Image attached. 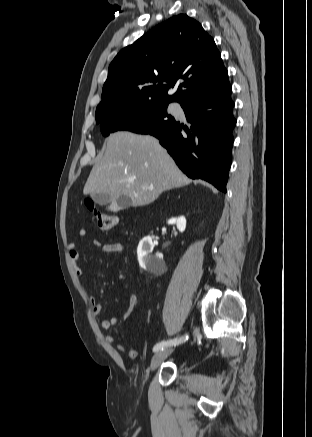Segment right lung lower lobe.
<instances>
[{"mask_svg": "<svg viewBox=\"0 0 312 437\" xmlns=\"http://www.w3.org/2000/svg\"><path fill=\"white\" fill-rule=\"evenodd\" d=\"M228 74L220 82L181 103L188 122L151 133L178 167L192 179H203L226 192L236 120Z\"/></svg>", "mask_w": 312, "mask_h": 437, "instance_id": "right-lung-lower-lobe-1", "label": "right lung lower lobe"}]
</instances>
